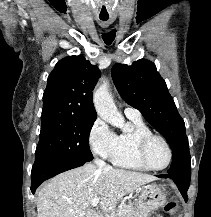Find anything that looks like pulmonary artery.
<instances>
[{
  "label": "pulmonary artery",
  "instance_id": "e3ab8cb5",
  "mask_svg": "<svg viewBox=\"0 0 211 217\" xmlns=\"http://www.w3.org/2000/svg\"><path fill=\"white\" fill-rule=\"evenodd\" d=\"M124 113L126 114L127 117H140L141 116L140 112L131 106H127L124 109Z\"/></svg>",
  "mask_w": 211,
  "mask_h": 217
}]
</instances>
